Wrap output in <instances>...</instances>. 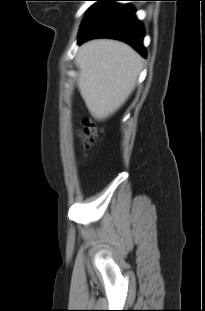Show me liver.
Segmentation results:
<instances>
[{"instance_id": "1", "label": "liver", "mask_w": 205, "mask_h": 311, "mask_svg": "<svg viewBox=\"0 0 205 311\" xmlns=\"http://www.w3.org/2000/svg\"><path fill=\"white\" fill-rule=\"evenodd\" d=\"M81 68L79 89L85 104L96 119L114 113L133 90L142 69V58L128 46L111 40H96L77 54Z\"/></svg>"}]
</instances>
